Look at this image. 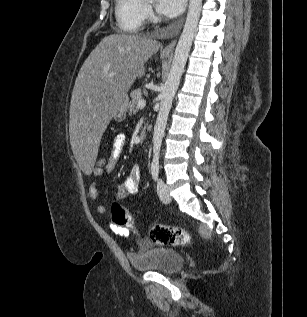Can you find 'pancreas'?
<instances>
[{"instance_id": "pancreas-1", "label": "pancreas", "mask_w": 307, "mask_h": 317, "mask_svg": "<svg viewBox=\"0 0 307 317\" xmlns=\"http://www.w3.org/2000/svg\"><path fill=\"white\" fill-rule=\"evenodd\" d=\"M131 101L127 103L126 108L128 109L129 114H135L138 110L137 102L142 99V92L140 89L133 90L130 94Z\"/></svg>"}]
</instances>
